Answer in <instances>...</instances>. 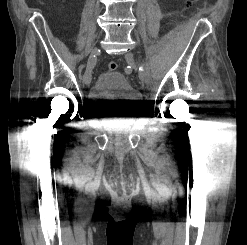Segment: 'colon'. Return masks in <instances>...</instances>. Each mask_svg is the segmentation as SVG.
<instances>
[{"label": "colon", "instance_id": "1", "mask_svg": "<svg viewBox=\"0 0 247 245\" xmlns=\"http://www.w3.org/2000/svg\"><path fill=\"white\" fill-rule=\"evenodd\" d=\"M196 0H186V5L189 6ZM108 69L110 71H116L118 69V64L115 61H111L108 63Z\"/></svg>", "mask_w": 247, "mask_h": 245}]
</instances>
